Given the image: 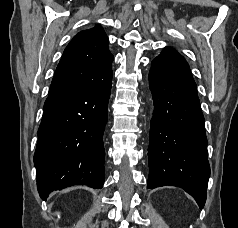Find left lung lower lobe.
Instances as JSON below:
<instances>
[{"mask_svg":"<svg viewBox=\"0 0 238 228\" xmlns=\"http://www.w3.org/2000/svg\"><path fill=\"white\" fill-rule=\"evenodd\" d=\"M149 84L154 113L147 187H181L202 209L210 166L204 117L190 67L178 52L165 48L151 62Z\"/></svg>","mask_w":238,"mask_h":228,"instance_id":"obj_1","label":"left lung lower lobe"}]
</instances>
